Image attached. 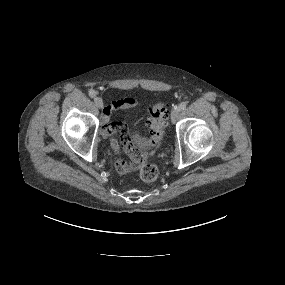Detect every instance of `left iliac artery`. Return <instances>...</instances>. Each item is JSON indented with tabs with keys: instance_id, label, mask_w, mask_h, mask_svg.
<instances>
[{
	"instance_id": "left-iliac-artery-1",
	"label": "left iliac artery",
	"mask_w": 285,
	"mask_h": 285,
	"mask_svg": "<svg viewBox=\"0 0 285 285\" xmlns=\"http://www.w3.org/2000/svg\"><path fill=\"white\" fill-rule=\"evenodd\" d=\"M186 106H187V103H186V102H182V103L179 104L178 109H179L180 111H181V110H184V109L186 108Z\"/></svg>"
}]
</instances>
